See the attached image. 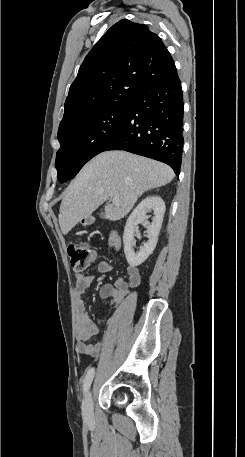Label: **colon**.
I'll return each instance as SVG.
<instances>
[{
    "instance_id": "5ec220e1",
    "label": "colon",
    "mask_w": 245,
    "mask_h": 457,
    "mask_svg": "<svg viewBox=\"0 0 245 457\" xmlns=\"http://www.w3.org/2000/svg\"><path fill=\"white\" fill-rule=\"evenodd\" d=\"M67 253L71 266L77 271L85 269L92 257L91 249L84 243L70 244L68 246Z\"/></svg>"
}]
</instances>
